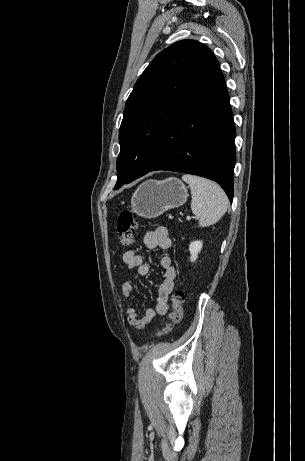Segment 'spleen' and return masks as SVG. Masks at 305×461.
Returning <instances> with one entry per match:
<instances>
[{
  "instance_id": "obj_1",
  "label": "spleen",
  "mask_w": 305,
  "mask_h": 461,
  "mask_svg": "<svg viewBox=\"0 0 305 461\" xmlns=\"http://www.w3.org/2000/svg\"><path fill=\"white\" fill-rule=\"evenodd\" d=\"M182 179L191 190V210L199 219L200 227L217 223L228 208V198L215 182L195 175L185 174Z\"/></svg>"
}]
</instances>
